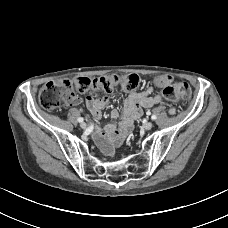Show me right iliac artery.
Masks as SVG:
<instances>
[{"label": "right iliac artery", "instance_id": "obj_1", "mask_svg": "<svg viewBox=\"0 0 228 228\" xmlns=\"http://www.w3.org/2000/svg\"><path fill=\"white\" fill-rule=\"evenodd\" d=\"M77 120H78V122H83V118H81V117L78 118Z\"/></svg>", "mask_w": 228, "mask_h": 228}]
</instances>
